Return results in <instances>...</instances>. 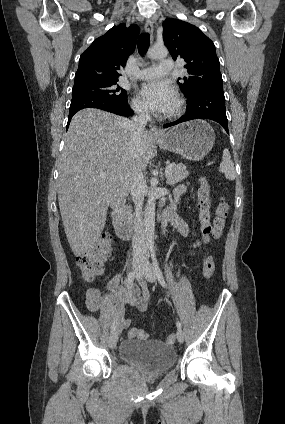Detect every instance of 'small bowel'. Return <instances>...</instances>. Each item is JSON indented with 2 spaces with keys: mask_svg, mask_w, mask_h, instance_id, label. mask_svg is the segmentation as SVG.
<instances>
[{
  "mask_svg": "<svg viewBox=\"0 0 285 424\" xmlns=\"http://www.w3.org/2000/svg\"><path fill=\"white\" fill-rule=\"evenodd\" d=\"M185 192L186 188L184 186H178L175 189V200ZM164 216L169 222L175 225L181 235L188 236L190 234V228L187 222L172 209H169ZM200 244L199 240L191 244L186 252L187 256L192 257L197 255L200 252ZM120 278V276H116L109 283V288L120 299V302L116 306H113L108 298L101 296L100 291L95 288H90L87 291L85 302L90 311H97L99 309H105L111 312L116 311L115 320H117L118 330L122 331L130 325V320L124 317L125 306L129 305L137 308L141 312H146L149 308L150 295L147 282L143 278L139 281L140 288L132 285L129 289L127 288V290L119 286Z\"/></svg>",
  "mask_w": 285,
  "mask_h": 424,
  "instance_id": "obj_1",
  "label": "small bowel"
}]
</instances>
